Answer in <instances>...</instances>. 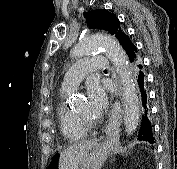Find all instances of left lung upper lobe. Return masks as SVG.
Returning <instances> with one entry per match:
<instances>
[{
    "instance_id": "5c2ea615",
    "label": "left lung upper lobe",
    "mask_w": 177,
    "mask_h": 169,
    "mask_svg": "<svg viewBox=\"0 0 177 169\" xmlns=\"http://www.w3.org/2000/svg\"><path fill=\"white\" fill-rule=\"evenodd\" d=\"M84 16L88 20L90 28L99 27L108 31L118 39L124 49L132 42L129 36L121 29L119 19L107 10L102 9L86 12Z\"/></svg>"
}]
</instances>
